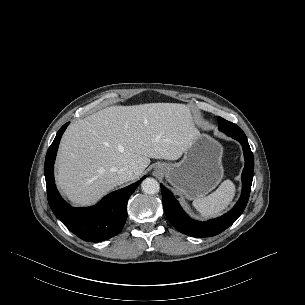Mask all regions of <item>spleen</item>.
<instances>
[{
  "instance_id": "1",
  "label": "spleen",
  "mask_w": 305,
  "mask_h": 305,
  "mask_svg": "<svg viewBox=\"0 0 305 305\" xmlns=\"http://www.w3.org/2000/svg\"><path fill=\"white\" fill-rule=\"evenodd\" d=\"M234 195L235 185L231 180H225L212 194L194 199L193 206L203 217H216L228 207Z\"/></svg>"
}]
</instances>
